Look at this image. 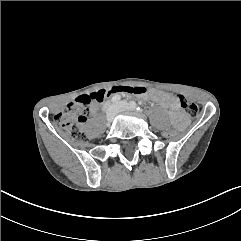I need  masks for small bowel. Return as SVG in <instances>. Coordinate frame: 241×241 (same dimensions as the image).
I'll list each match as a JSON object with an SVG mask.
<instances>
[{"label":"small bowel","mask_w":241,"mask_h":241,"mask_svg":"<svg viewBox=\"0 0 241 241\" xmlns=\"http://www.w3.org/2000/svg\"><path fill=\"white\" fill-rule=\"evenodd\" d=\"M145 97H149L164 108H168L172 111V118L179 124L183 125L184 118L179 113V106L176 98L166 92L153 91L149 95L143 94Z\"/></svg>","instance_id":"small-bowel-1"}]
</instances>
